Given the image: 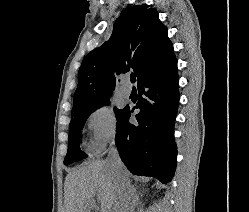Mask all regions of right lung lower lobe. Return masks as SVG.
<instances>
[{
	"label": "right lung lower lobe",
	"mask_w": 249,
	"mask_h": 212,
	"mask_svg": "<svg viewBox=\"0 0 249 212\" xmlns=\"http://www.w3.org/2000/svg\"><path fill=\"white\" fill-rule=\"evenodd\" d=\"M178 80L173 54L138 83L140 99L134 107L140 109L135 115L138 124L129 123L134 110L129 106L117 120L116 146L122 161L135 175L152 176L162 183L170 182L174 175L177 148L173 129L179 102Z\"/></svg>",
	"instance_id": "obj_1"
}]
</instances>
